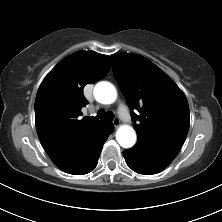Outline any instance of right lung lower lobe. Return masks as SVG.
I'll return each mask as SVG.
<instances>
[{"label": "right lung lower lobe", "instance_id": "obj_1", "mask_svg": "<svg viewBox=\"0 0 222 222\" xmlns=\"http://www.w3.org/2000/svg\"><path fill=\"white\" fill-rule=\"evenodd\" d=\"M113 132V124L108 125L104 129L95 133L89 139L88 153L77 164L62 165L60 169L75 175H83L92 171L96 165L104 142L107 137Z\"/></svg>", "mask_w": 222, "mask_h": 222}]
</instances>
